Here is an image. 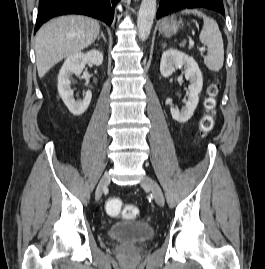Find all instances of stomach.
<instances>
[{
  "instance_id": "0dacf381",
  "label": "stomach",
  "mask_w": 265,
  "mask_h": 269,
  "mask_svg": "<svg viewBox=\"0 0 265 269\" xmlns=\"http://www.w3.org/2000/svg\"><path fill=\"white\" fill-rule=\"evenodd\" d=\"M181 25V20L164 19L160 24L159 32L165 37H170L178 31Z\"/></svg>"
}]
</instances>
